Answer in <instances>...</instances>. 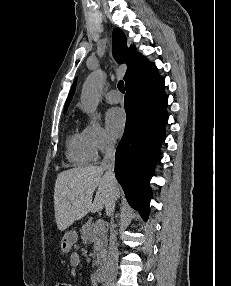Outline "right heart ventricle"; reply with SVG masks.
Returning <instances> with one entry per match:
<instances>
[{"instance_id":"e07e8e85","label":"right heart ventricle","mask_w":231,"mask_h":286,"mask_svg":"<svg viewBox=\"0 0 231 286\" xmlns=\"http://www.w3.org/2000/svg\"><path fill=\"white\" fill-rule=\"evenodd\" d=\"M66 156L71 163L76 165H86L97 158L84 131L78 129H73L66 139Z\"/></svg>"}]
</instances>
